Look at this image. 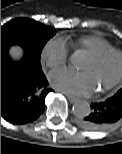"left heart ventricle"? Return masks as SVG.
I'll return each instance as SVG.
<instances>
[{"label": "left heart ventricle", "instance_id": "obj_1", "mask_svg": "<svg viewBox=\"0 0 122 154\" xmlns=\"http://www.w3.org/2000/svg\"><path fill=\"white\" fill-rule=\"evenodd\" d=\"M119 60L117 57H110L101 64L94 63L90 57L86 60L81 70L90 75L94 88H101L109 84L117 75Z\"/></svg>", "mask_w": 122, "mask_h": 154}]
</instances>
